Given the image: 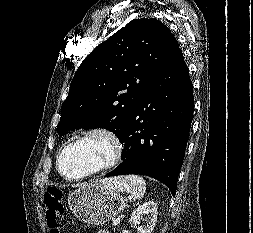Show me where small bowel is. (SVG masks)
<instances>
[{
	"instance_id": "small-bowel-1",
	"label": "small bowel",
	"mask_w": 253,
	"mask_h": 233,
	"mask_svg": "<svg viewBox=\"0 0 253 233\" xmlns=\"http://www.w3.org/2000/svg\"><path fill=\"white\" fill-rule=\"evenodd\" d=\"M98 233H108V232H106V231H99Z\"/></svg>"
}]
</instances>
